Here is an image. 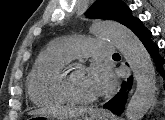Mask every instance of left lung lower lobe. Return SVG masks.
<instances>
[{"label": "left lung lower lobe", "mask_w": 165, "mask_h": 120, "mask_svg": "<svg viewBox=\"0 0 165 120\" xmlns=\"http://www.w3.org/2000/svg\"><path fill=\"white\" fill-rule=\"evenodd\" d=\"M130 29L133 33L140 39L144 44L146 50L152 56L155 65L159 72H161L163 78L165 79V72L163 71L162 65L164 64V59L160 57L158 52V45L151 40L152 33L149 31L138 18L134 20ZM133 84V77L130 76L127 82H123L122 91L115 95L109 102L104 105V108L111 110L114 114L120 115L123 110L127 99L126 90H130Z\"/></svg>", "instance_id": "0a47b994"}]
</instances>
